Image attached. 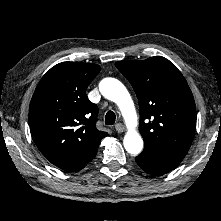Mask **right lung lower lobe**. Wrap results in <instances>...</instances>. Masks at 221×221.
<instances>
[{
  "mask_svg": "<svg viewBox=\"0 0 221 221\" xmlns=\"http://www.w3.org/2000/svg\"><path fill=\"white\" fill-rule=\"evenodd\" d=\"M97 150L98 148L95 151H93L89 156L85 157L78 163L65 167V168H61V169L69 171V172H75V171H79L83 169L87 165V163L90 162L96 156Z\"/></svg>",
  "mask_w": 221,
  "mask_h": 221,
  "instance_id": "1",
  "label": "right lung lower lobe"
}]
</instances>
